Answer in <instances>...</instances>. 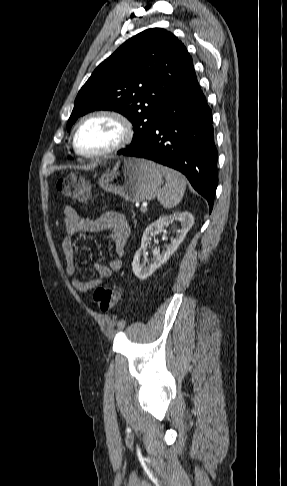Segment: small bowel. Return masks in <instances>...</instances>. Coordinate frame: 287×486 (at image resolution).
Listing matches in <instances>:
<instances>
[{
    "instance_id": "small-bowel-1",
    "label": "small bowel",
    "mask_w": 287,
    "mask_h": 486,
    "mask_svg": "<svg viewBox=\"0 0 287 486\" xmlns=\"http://www.w3.org/2000/svg\"><path fill=\"white\" fill-rule=\"evenodd\" d=\"M64 223L66 234L62 240V250L66 261V275L73 286L79 292H87L104 283L106 279L117 273L122 268L121 256L130 235V227L126 216L115 210H107L98 217L92 218L80 213L76 208L67 206L64 209ZM80 232H106L112 240L116 256L109 259L108 264H96L98 276L94 279L83 281L77 276L75 265V249L73 238Z\"/></svg>"
}]
</instances>
